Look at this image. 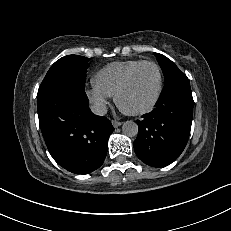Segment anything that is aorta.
<instances>
[{
    "mask_svg": "<svg viewBox=\"0 0 231 231\" xmlns=\"http://www.w3.org/2000/svg\"><path fill=\"white\" fill-rule=\"evenodd\" d=\"M122 132L128 137H134L138 134V125L133 121H126L123 123Z\"/></svg>",
    "mask_w": 231,
    "mask_h": 231,
    "instance_id": "aorta-1",
    "label": "aorta"
}]
</instances>
